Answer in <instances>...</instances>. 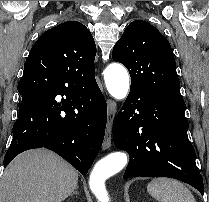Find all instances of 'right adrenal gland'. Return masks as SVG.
<instances>
[{"label":"right adrenal gland","instance_id":"obj_1","mask_svg":"<svg viewBox=\"0 0 209 202\" xmlns=\"http://www.w3.org/2000/svg\"><path fill=\"white\" fill-rule=\"evenodd\" d=\"M78 188V187H77ZM77 188L75 189V191H73V193L71 194V196H73L74 194L78 195L79 192L77 191Z\"/></svg>","mask_w":209,"mask_h":202}]
</instances>
